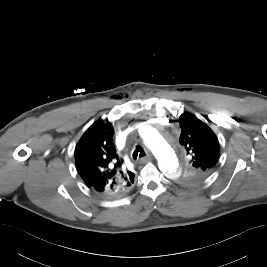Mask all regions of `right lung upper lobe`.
Returning <instances> with one entry per match:
<instances>
[{
    "mask_svg": "<svg viewBox=\"0 0 267 267\" xmlns=\"http://www.w3.org/2000/svg\"><path fill=\"white\" fill-rule=\"evenodd\" d=\"M107 121L98 120L83 134L75 148L76 168L85 184L103 196H121L134 184V173L123 167Z\"/></svg>",
    "mask_w": 267,
    "mask_h": 267,
    "instance_id": "obj_1",
    "label": "right lung upper lobe"
}]
</instances>
